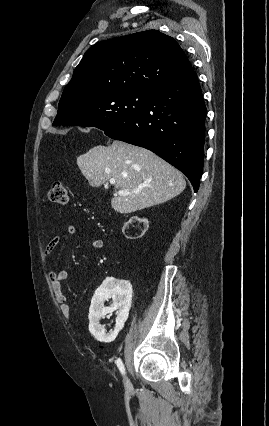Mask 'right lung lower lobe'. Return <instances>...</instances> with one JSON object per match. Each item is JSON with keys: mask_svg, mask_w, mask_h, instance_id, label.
Listing matches in <instances>:
<instances>
[{"mask_svg": "<svg viewBox=\"0 0 269 426\" xmlns=\"http://www.w3.org/2000/svg\"><path fill=\"white\" fill-rule=\"evenodd\" d=\"M149 94L139 114L105 134L156 153L182 171L197 192L203 171L207 114L197 75L192 71Z\"/></svg>", "mask_w": 269, "mask_h": 426, "instance_id": "1", "label": "right lung lower lobe"}]
</instances>
